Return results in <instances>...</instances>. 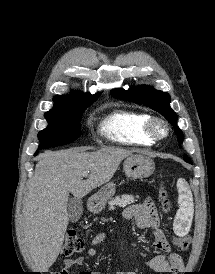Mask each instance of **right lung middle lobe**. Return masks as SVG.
Returning <instances> with one entry per match:
<instances>
[{"label": "right lung middle lobe", "mask_w": 215, "mask_h": 274, "mask_svg": "<svg viewBox=\"0 0 215 274\" xmlns=\"http://www.w3.org/2000/svg\"><path fill=\"white\" fill-rule=\"evenodd\" d=\"M90 104L74 106L66 102H55L54 108L45 113L49 125L38 133V150L57 147L73 142L80 136V119ZM38 151L35 153V155Z\"/></svg>", "instance_id": "dd1d6c3e"}]
</instances>
